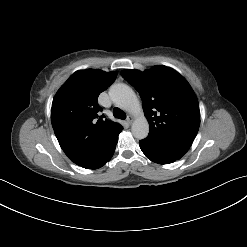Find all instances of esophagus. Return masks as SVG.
I'll list each match as a JSON object with an SVG mask.
<instances>
[{
    "label": "esophagus",
    "instance_id": "1",
    "mask_svg": "<svg viewBox=\"0 0 247 247\" xmlns=\"http://www.w3.org/2000/svg\"><path fill=\"white\" fill-rule=\"evenodd\" d=\"M133 120H134L133 116L130 115V116L127 117V122L129 124H131L133 122Z\"/></svg>",
    "mask_w": 247,
    "mask_h": 247
}]
</instances>
